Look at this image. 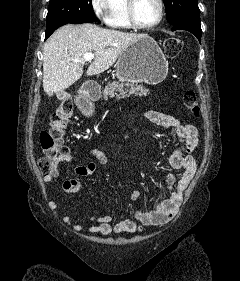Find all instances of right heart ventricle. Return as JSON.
Listing matches in <instances>:
<instances>
[{"instance_id": "obj_1", "label": "right heart ventricle", "mask_w": 240, "mask_h": 281, "mask_svg": "<svg viewBox=\"0 0 240 281\" xmlns=\"http://www.w3.org/2000/svg\"><path fill=\"white\" fill-rule=\"evenodd\" d=\"M106 23L116 29H130L127 0H110V11Z\"/></svg>"}]
</instances>
